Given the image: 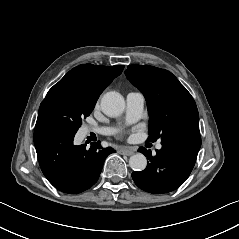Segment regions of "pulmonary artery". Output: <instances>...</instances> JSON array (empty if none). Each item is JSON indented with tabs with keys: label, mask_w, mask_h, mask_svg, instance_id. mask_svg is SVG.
Segmentation results:
<instances>
[{
	"label": "pulmonary artery",
	"mask_w": 239,
	"mask_h": 239,
	"mask_svg": "<svg viewBox=\"0 0 239 239\" xmlns=\"http://www.w3.org/2000/svg\"><path fill=\"white\" fill-rule=\"evenodd\" d=\"M144 103H145V97L141 92L130 91L127 93L126 114L130 122H135L141 118L143 113ZM86 132L87 133L96 132L102 135H109V134H112L114 130L109 127H98V128L87 127ZM156 147L157 149H161L162 145L160 140L157 143Z\"/></svg>",
	"instance_id": "pulmonary-artery-1"
}]
</instances>
